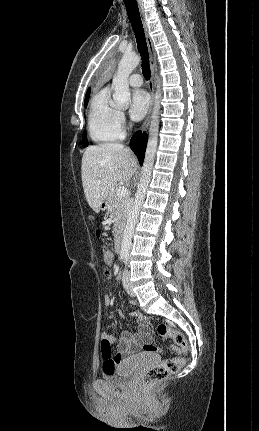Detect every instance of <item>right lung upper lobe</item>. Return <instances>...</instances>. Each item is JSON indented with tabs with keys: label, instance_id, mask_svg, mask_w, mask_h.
I'll list each match as a JSON object with an SVG mask.
<instances>
[{
	"label": "right lung upper lobe",
	"instance_id": "right-lung-upper-lobe-1",
	"mask_svg": "<svg viewBox=\"0 0 259 431\" xmlns=\"http://www.w3.org/2000/svg\"><path fill=\"white\" fill-rule=\"evenodd\" d=\"M87 93H90V89H88ZM87 93H86V94H87Z\"/></svg>",
	"mask_w": 259,
	"mask_h": 431
}]
</instances>
